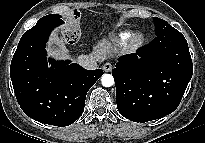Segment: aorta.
<instances>
[{
  "instance_id": "1",
  "label": "aorta",
  "mask_w": 205,
  "mask_h": 143,
  "mask_svg": "<svg viewBox=\"0 0 205 143\" xmlns=\"http://www.w3.org/2000/svg\"><path fill=\"white\" fill-rule=\"evenodd\" d=\"M101 83L104 87H111L114 84V78L111 74H103Z\"/></svg>"
}]
</instances>
